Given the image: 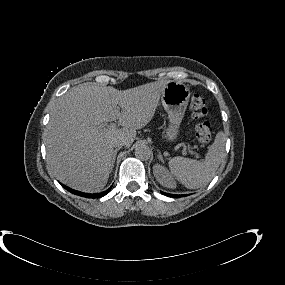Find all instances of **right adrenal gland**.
Here are the masks:
<instances>
[{
    "instance_id": "2a0ac1e0",
    "label": "right adrenal gland",
    "mask_w": 285,
    "mask_h": 285,
    "mask_svg": "<svg viewBox=\"0 0 285 285\" xmlns=\"http://www.w3.org/2000/svg\"><path fill=\"white\" fill-rule=\"evenodd\" d=\"M120 147H117L115 150H114V153H113V158H112V164H111V170H113L114 168V164H115V159H116V156H117V152L119 151Z\"/></svg>"
}]
</instances>
